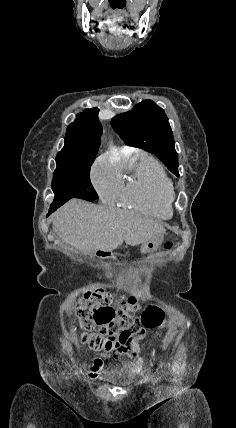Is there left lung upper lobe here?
Segmentation results:
<instances>
[{"label":"left lung upper lobe","instance_id":"obj_1","mask_svg":"<svg viewBox=\"0 0 236 428\" xmlns=\"http://www.w3.org/2000/svg\"><path fill=\"white\" fill-rule=\"evenodd\" d=\"M111 123L125 144L155 154L172 173L179 176L173 133L162 108L151 100H145L132 110L114 117Z\"/></svg>","mask_w":236,"mask_h":428}]
</instances>
